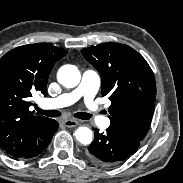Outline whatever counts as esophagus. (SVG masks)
Masks as SVG:
<instances>
[{
    "instance_id": "esophagus-1",
    "label": "esophagus",
    "mask_w": 183,
    "mask_h": 183,
    "mask_svg": "<svg viewBox=\"0 0 183 183\" xmlns=\"http://www.w3.org/2000/svg\"><path fill=\"white\" fill-rule=\"evenodd\" d=\"M63 124L66 126V127H75L77 125L80 124V121L76 120V119H66L63 121Z\"/></svg>"
}]
</instances>
